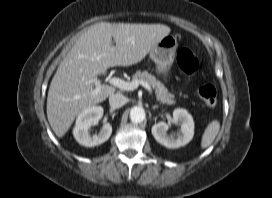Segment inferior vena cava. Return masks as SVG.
Here are the masks:
<instances>
[{
    "instance_id": "602c4592",
    "label": "inferior vena cava",
    "mask_w": 272,
    "mask_h": 198,
    "mask_svg": "<svg viewBox=\"0 0 272 198\" xmlns=\"http://www.w3.org/2000/svg\"><path fill=\"white\" fill-rule=\"evenodd\" d=\"M127 103V98L121 94H112L109 97V104L112 108H120Z\"/></svg>"
}]
</instances>
